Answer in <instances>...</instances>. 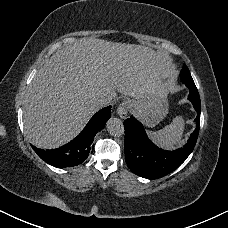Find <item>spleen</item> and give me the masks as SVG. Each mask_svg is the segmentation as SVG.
<instances>
[{
    "label": "spleen",
    "instance_id": "spleen-1",
    "mask_svg": "<svg viewBox=\"0 0 228 228\" xmlns=\"http://www.w3.org/2000/svg\"><path fill=\"white\" fill-rule=\"evenodd\" d=\"M185 121L182 116H176L172 123L165 126L163 129L152 132L149 135L153 142L166 149H173L179 144L184 132Z\"/></svg>",
    "mask_w": 228,
    "mask_h": 228
}]
</instances>
